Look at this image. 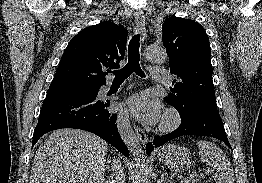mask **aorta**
Returning <instances> with one entry per match:
<instances>
[{"label":"aorta","instance_id":"762f6f07","mask_svg":"<svg viewBox=\"0 0 262 183\" xmlns=\"http://www.w3.org/2000/svg\"><path fill=\"white\" fill-rule=\"evenodd\" d=\"M145 57L153 63H163L167 60L166 51L159 46L149 45L145 51ZM117 127L119 134L125 145L132 153L137 164V183H148L149 167L144 155V151L137 140V137L131 127L129 114L122 110L118 114Z\"/></svg>","mask_w":262,"mask_h":183}]
</instances>
